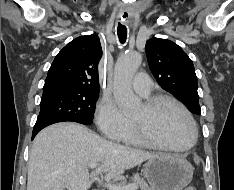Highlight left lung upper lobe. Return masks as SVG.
Returning a JSON list of instances; mask_svg holds the SVG:
<instances>
[{"label":"left lung upper lobe","instance_id":"1","mask_svg":"<svg viewBox=\"0 0 234 190\" xmlns=\"http://www.w3.org/2000/svg\"><path fill=\"white\" fill-rule=\"evenodd\" d=\"M149 67L159 85L178 97L194 114H200L197 76L192 60L176 43L152 38L146 42Z\"/></svg>","mask_w":234,"mask_h":190}]
</instances>
